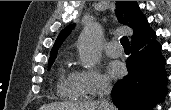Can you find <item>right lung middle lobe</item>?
I'll return each mask as SVG.
<instances>
[{"mask_svg": "<svg viewBox=\"0 0 171 110\" xmlns=\"http://www.w3.org/2000/svg\"><path fill=\"white\" fill-rule=\"evenodd\" d=\"M56 56L50 57L49 61H48V68L53 64L54 60H55Z\"/></svg>", "mask_w": 171, "mask_h": 110, "instance_id": "dd1d6c3e", "label": "right lung middle lobe"}]
</instances>
